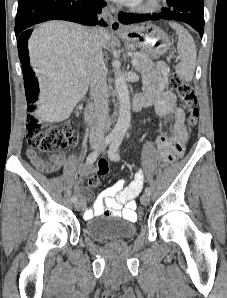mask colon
Segmentation results:
<instances>
[{"label":"colon","mask_w":227,"mask_h":298,"mask_svg":"<svg viewBox=\"0 0 227 298\" xmlns=\"http://www.w3.org/2000/svg\"><path fill=\"white\" fill-rule=\"evenodd\" d=\"M172 87L176 90L180 98L184 101L188 111V123L192 126L197 124L199 117V110L197 108L195 94L192 86L184 81L177 74H172L170 77ZM24 87L26 98L29 103V111L33 112L37 107L39 100L40 88L39 82L35 73L28 70L24 77ZM26 137L29 146L43 153L59 154L61 150L65 149L70 144L76 141L74 130L71 127H64L62 129H42L37 118L31 116L27 125ZM170 157V156H169ZM108 172L106 162L99 161L98 174L105 175ZM99 184L97 176H93L89 180L91 187H96ZM136 212L139 217H144V208H137Z\"/></svg>","instance_id":"colon-1"}]
</instances>
